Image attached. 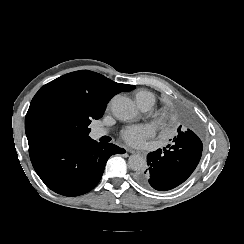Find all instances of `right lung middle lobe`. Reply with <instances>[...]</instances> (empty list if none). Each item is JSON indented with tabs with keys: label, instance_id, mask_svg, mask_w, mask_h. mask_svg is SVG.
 Instances as JSON below:
<instances>
[{
	"label": "right lung middle lobe",
	"instance_id": "obj_1",
	"mask_svg": "<svg viewBox=\"0 0 244 244\" xmlns=\"http://www.w3.org/2000/svg\"><path fill=\"white\" fill-rule=\"evenodd\" d=\"M105 106L85 96L55 92L49 96H34L25 118L28 139L88 137L92 119L102 117Z\"/></svg>",
	"mask_w": 244,
	"mask_h": 244
}]
</instances>
